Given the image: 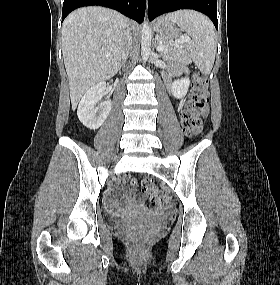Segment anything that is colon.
<instances>
[{"instance_id": "1", "label": "colon", "mask_w": 280, "mask_h": 285, "mask_svg": "<svg viewBox=\"0 0 280 285\" xmlns=\"http://www.w3.org/2000/svg\"><path fill=\"white\" fill-rule=\"evenodd\" d=\"M209 100V79L204 72H196L194 76V85L192 96L181 112V123L187 136L198 135L203 127L202 112ZM125 183L141 195H147L153 206H162L167 202V196L159 192L150 180H144L141 183L135 178L126 176ZM135 244H140L139 238L134 239Z\"/></svg>"}]
</instances>
